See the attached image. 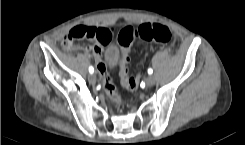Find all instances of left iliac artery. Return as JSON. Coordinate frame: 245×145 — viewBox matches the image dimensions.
I'll use <instances>...</instances> for the list:
<instances>
[{"label":"left iliac artery","mask_w":245,"mask_h":145,"mask_svg":"<svg viewBox=\"0 0 245 145\" xmlns=\"http://www.w3.org/2000/svg\"><path fill=\"white\" fill-rule=\"evenodd\" d=\"M152 73H153V69H152V68H149V69H148V74L151 75Z\"/></svg>","instance_id":"obj_1"}]
</instances>
